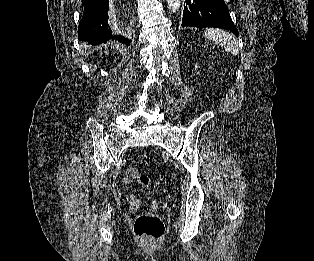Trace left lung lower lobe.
Instances as JSON below:
<instances>
[{"label": "left lung lower lobe", "mask_w": 314, "mask_h": 261, "mask_svg": "<svg viewBox=\"0 0 314 261\" xmlns=\"http://www.w3.org/2000/svg\"><path fill=\"white\" fill-rule=\"evenodd\" d=\"M182 26L217 27L238 36L224 0H186Z\"/></svg>", "instance_id": "1"}]
</instances>
